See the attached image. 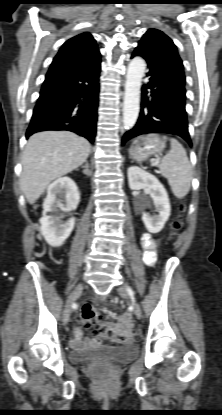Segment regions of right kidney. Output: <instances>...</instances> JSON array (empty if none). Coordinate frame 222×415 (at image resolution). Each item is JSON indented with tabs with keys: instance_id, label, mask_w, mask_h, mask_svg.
Returning <instances> with one entry per match:
<instances>
[{
	"instance_id": "right-kidney-1",
	"label": "right kidney",
	"mask_w": 222,
	"mask_h": 415,
	"mask_svg": "<svg viewBox=\"0 0 222 415\" xmlns=\"http://www.w3.org/2000/svg\"><path fill=\"white\" fill-rule=\"evenodd\" d=\"M79 201L78 187L69 177L58 178L48 186L40 224L41 233L49 245L53 247L61 246L70 236L75 219L71 217L66 222L61 219L65 216L64 212L75 210Z\"/></svg>"
}]
</instances>
